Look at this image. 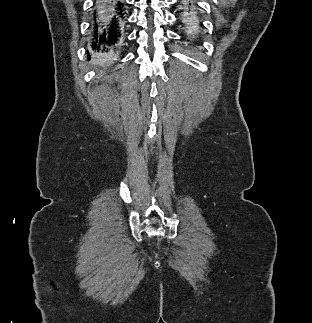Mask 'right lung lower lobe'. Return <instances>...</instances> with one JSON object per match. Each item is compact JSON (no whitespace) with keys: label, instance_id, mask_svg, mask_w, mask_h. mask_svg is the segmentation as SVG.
<instances>
[{"label":"right lung lower lobe","instance_id":"98d812e1","mask_svg":"<svg viewBox=\"0 0 312 323\" xmlns=\"http://www.w3.org/2000/svg\"><path fill=\"white\" fill-rule=\"evenodd\" d=\"M95 1L89 46L93 51L114 53L123 40L127 4L123 0Z\"/></svg>","mask_w":312,"mask_h":323}]
</instances>
